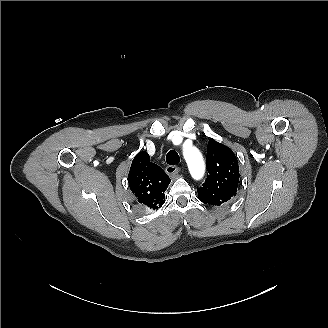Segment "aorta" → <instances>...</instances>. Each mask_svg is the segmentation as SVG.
<instances>
[{
    "label": "aorta",
    "mask_w": 328,
    "mask_h": 328,
    "mask_svg": "<svg viewBox=\"0 0 328 328\" xmlns=\"http://www.w3.org/2000/svg\"><path fill=\"white\" fill-rule=\"evenodd\" d=\"M183 156L188 165L191 176L196 180L201 179L204 175L205 165L199 150L192 146L184 147Z\"/></svg>",
    "instance_id": "762f6f07"
}]
</instances>
